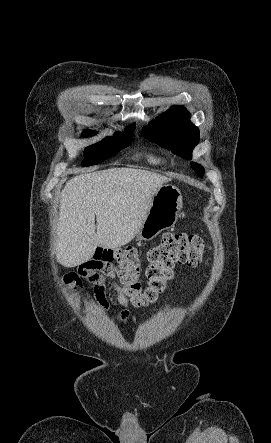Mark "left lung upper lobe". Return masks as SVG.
Listing matches in <instances>:
<instances>
[{"label": "left lung upper lobe", "instance_id": "left-lung-upper-lobe-1", "mask_svg": "<svg viewBox=\"0 0 271 443\" xmlns=\"http://www.w3.org/2000/svg\"><path fill=\"white\" fill-rule=\"evenodd\" d=\"M190 113L183 106H172L147 125L142 134L151 142L171 149L173 153L191 159L192 150L199 142V129L190 122ZM199 176L204 168L192 164Z\"/></svg>", "mask_w": 271, "mask_h": 443}]
</instances>
